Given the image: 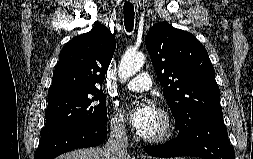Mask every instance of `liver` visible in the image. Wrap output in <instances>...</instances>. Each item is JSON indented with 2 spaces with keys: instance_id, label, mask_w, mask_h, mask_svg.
Returning <instances> with one entry per match:
<instances>
[{
  "instance_id": "obj_1",
  "label": "liver",
  "mask_w": 253,
  "mask_h": 159,
  "mask_svg": "<svg viewBox=\"0 0 253 159\" xmlns=\"http://www.w3.org/2000/svg\"><path fill=\"white\" fill-rule=\"evenodd\" d=\"M55 159H108L106 147L78 149L61 155ZM118 159H135L129 154L121 155Z\"/></svg>"
}]
</instances>
